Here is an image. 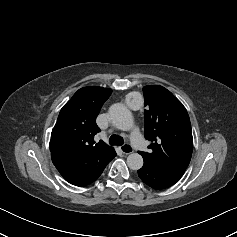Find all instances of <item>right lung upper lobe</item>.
I'll list each match as a JSON object with an SVG mask.
<instances>
[{"instance_id":"cb5924a9","label":"right lung upper lobe","mask_w":237,"mask_h":237,"mask_svg":"<svg viewBox=\"0 0 237 237\" xmlns=\"http://www.w3.org/2000/svg\"><path fill=\"white\" fill-rule=\"evenodd\" d=\"M111 93L109 88L87 86L73 95L61 109L51 133L52 159H65L81 170H93L115 156L112 147L94 141L99 132L95 119Z\"/></svg>"}]
</instances>
